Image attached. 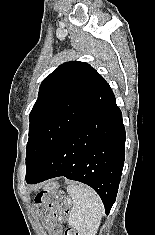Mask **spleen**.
<instances>
[{
	"label": "spleen",
	"instance_id": "1",
	"mask_svg": "<svg viewBox=\"0 0 155 235\" xmlns=\"http://www.w3.org/2000/svg\"><path fill=\"white\" fill-rule=\"evenodd\" d=\"M67 192L73 200L69 226L77 230L78 235H96L104 213L101 198L91 188L83 185H69Z\"/></svg>",
	"mask_w": 155,
	"mask_h": 235
}]
</instances>
